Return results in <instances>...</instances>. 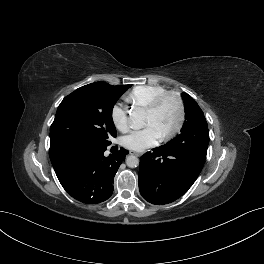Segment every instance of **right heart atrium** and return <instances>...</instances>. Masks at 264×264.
Here are the masks:
<instances>
[{
  "mask_svg": "<svg viewBox=\"0 0 264 264\" xmlns=\"http://www.w3.org/2000/svg\"><path fill=\"white\" fill-rule=\"evenodd\" d=\"M111 120L115 128L121 132L128 129L127 111L120 105H115L111 110Z\"/></svg>",
  "mask_w": 264,
  "mask_h": 264,
  "instance_id": "right-heart-atrium-1",
  "label": "right heart atrium"
}]
</instances>
